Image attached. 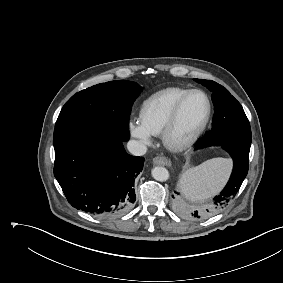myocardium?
<instances>
[{
  "mask_svg": "<svg viewBox=\"0 0 283 283\" xmlns=\"http://www.w3.org/2000/svg\"><path fill=\"white\" fill-rule=\"evenodd\" d=\"M192 94H200L204 97L206 101V113L204 119L199 125V127L189 137L181 140L175 139L173 133L180 110L186 99ZM211 112H212L211 100L203 90L190 89L186 93H184L175 103L169 115V118L161 132L162 141L166 146V148H168L171 151H183L189 148L190 146H192L198 140V138L201 136V134L204 132L205 128L207 127V124L211 117Z\"/></svg>",
  "mask_w": 283,
  "mask_h": 283,
  "instance_id": "myocardium-1",
  "label": "myocardium"
}]
</instances>
